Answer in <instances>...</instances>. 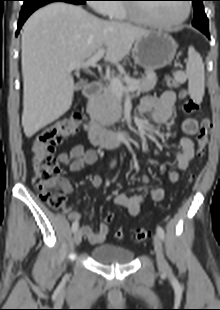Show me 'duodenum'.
Wrapping results in <instances>:
<instances>
[{
    "label": "duodenum",
    "mask_w": 220,
    "mask_h": 310,
    "mask_svg": "<svg viewBox=\"0 0 220 310\" xmlns=\"http://www.w3.org/2000/svg\"><path fill=\"white\" fill-rule=\"evenodd\" d=\"M101 90L102 84L99 81H92L85 89V96L93 101L98 97ZM87 136L91 144L110 149L123 146L129 140V134L126 131L110 130L95 124L88 125Z\"/></svg>",
    "instance_id": "duodenum-1"
}]
</instances>
